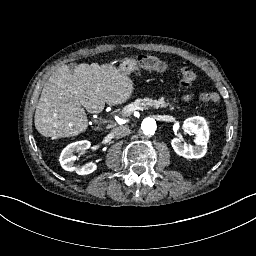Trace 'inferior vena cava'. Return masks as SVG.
Returning <instances> with one entry per match:
<instances>
[{
  "instance_id": "602c4592",
  "label": "inferior vena cava",
  "mask_w": 256,
  "mask_h": 256,
  "mask_svg": "<svg viewBox=\"0 0 256 256\" xmlns=\"http://www.w3.org/2000/svg\"><path fill=\"white\" fill-rule=\"evenodd\" d=\"M112 133L115 137L121 138L128 135L130 133V129L127 125H121V126L115 127L112 130Z\"/></svg>"
}]
</instances>
